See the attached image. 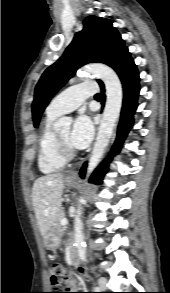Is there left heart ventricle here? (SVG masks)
Returning a JSON list of instances; mask_svg holds the SVG:
<instances>
[{"label":"left heart ventricle","mask_w":170,"mask_h":293,"mask_svg":"<svg viewBox=\"0 0 170 293\" xmlns=\"http://www.w3.org/2000/svg\"><path fill=\"white\" fill-rule=\"evenodd\" d=\"M57 134L59 135L60 139L67 145L70 146V143H69V137H70V129L69 128H66V129H63V130H60L57 132Z\"/></svg>","instance_id":"left-heart-ventricle-1"}]
</instances>
